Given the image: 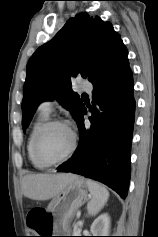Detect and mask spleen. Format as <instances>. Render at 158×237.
Segmentation results:
<instances>
[{
  "mask_svg": "<svg viewBox=\"0 0 158 237\" xmlns=\"http://www.w3.org/2000/svg\"><path fill=\"white\" fill-rule=\"evenodd\" d=\"M86 184L92 195L87 204V210L90 215H96L107 202L109 192L106 187L93 180H86Z\"/></svg>",
  "mask_w": 158,
  "mask_h": 237,
  "instance_id": "1",
  "label": "spleen"
}]
</instances>
